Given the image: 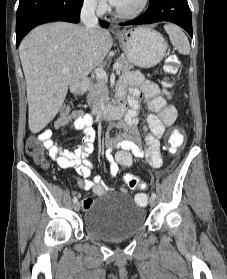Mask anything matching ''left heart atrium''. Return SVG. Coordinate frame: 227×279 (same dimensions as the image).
<instances>
[{"mask_svg":"<svg viewBox=\"0 0 227 279\" xmlns=\"http://www.w3.org/2000/svg\"><path fill=\"white\" fill-rule=\"evenodd\" d=\"M112 5L116 6L120 0H108Z\"/></svg>","mask_w":227,"mask_h":279,"instance_id":"obj_1","label":"left heart atrium"}]
</instances>
